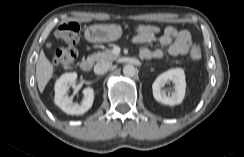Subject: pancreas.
I'll return each mask as SVG.
<instances>
[{"label": "pancreas", "mask_w": 244, "mask_h": 157, "mask_svg": "<svg viewBox=\"0 0 244 157\" xmlns=\"http://www.w3.org/2000/svg\"><path fill=\"white\" fill-rule=\"evenodd\" d=\"M91 58L94 59L97 62L101 61H113L119 58L118 55L113 54L112 50L105 49L102 52H97L91 55ZM175 63H179L178 60L174 61Z\"/></svg>", "instance_id": "pancreas-1"}]
</instances>
